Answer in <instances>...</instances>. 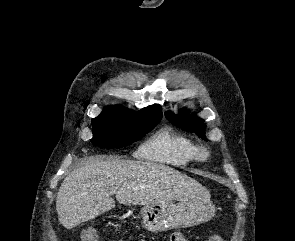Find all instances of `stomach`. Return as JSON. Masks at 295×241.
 I'll return each instance as SVG.
<instances>
[{
	"label": "stomach",
	"mask_w": 295,
	"mask_h": 241,
	"mask_svg": "<svg viewBox=\"0 0 295 241\" xmlns=\"http://www.w3.org/2000/svg\"><path fill=\"white\" fill-rule=\"evenodd\" d=\"M215 211L210 196H196L177 204L167 202L144 205L140 215L144 228L158 233L202 224L212 219Z\"/></svg>",
	"instance_id": "stomach-1"
}]
</instances>
